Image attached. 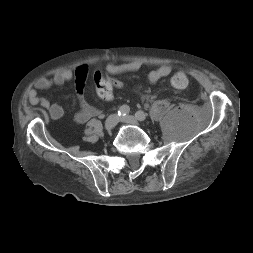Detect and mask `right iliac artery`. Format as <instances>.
<instances>
[{"instance_id": "obj_1", "label": "right iliac artery", "mask_w": 253, "mask_h": 253, "mask_svg": "<svg viewBox=\"0 0 253 253\" xmlns=\"http://www.w3.org/2000/svg\"><path fill=\"white\" fill-rule=\"evenodd\" d=\"M129 112H130L129 106H127V105H122V106L118 109L117 114H118V116L123 117V116H126Z\"/></svg>"}]
</instances>
